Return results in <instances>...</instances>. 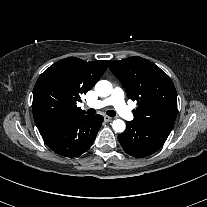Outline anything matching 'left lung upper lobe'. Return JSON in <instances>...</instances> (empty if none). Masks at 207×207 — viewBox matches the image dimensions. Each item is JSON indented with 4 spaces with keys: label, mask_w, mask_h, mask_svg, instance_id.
Wrapping results in <instances>:
<instances>
[{
    "label": "left lung upper lobe",
    "mask_w": 207,
    "mask_h": 207,
    "mask_svg": "<svg viewBox=\"0 0 207 207\" xmlns=\"http://www.w3.org/2000/svg\"><path fill=\"white\" fill-rule=\"evenodd\" d=\"M109 68L126 88L128 98L137 101L133 122L171 132L177 114V93L170 77L141 57L109 61Z\"/></svg>",
    "instance_id": "obj_1"
}]
</instances>
